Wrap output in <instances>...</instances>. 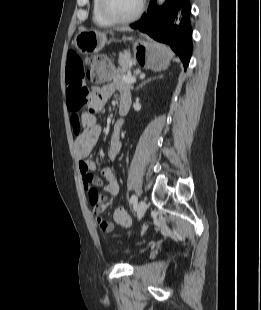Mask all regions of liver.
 Masks as SVG:
<instances>
[{"label": "liver", "instance_id": "1", "mask_svg": "<svg viewBox=\"0 0 261 310\" xmlns=\"http://www.w3.org/2000/svg\"><path fill=\"white\" fill-rule=\"evenodd\" d=\"M122 31H130V30H127V29H123Z\"/></svg>", "mask_w": 261, "mask_h": 310}]
</instances>
